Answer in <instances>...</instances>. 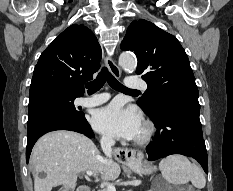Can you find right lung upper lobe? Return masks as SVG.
I'll return each mask as SVG.
<instances>
[{
    "label": "right lung upper lobe",
    "mask_w": 233,
    "mask_h": 191,
    "mask_svg": "<svg viewBox=\"0 0 233 191\" xmlns=\"http://www.w3.org/2000/svg\"><path fill=\"white\" fill-rule=\"evenodd\" d=\"M101 47L90 29L73 24L41 54L33 72L29 97L53 91L79 97L98 71Z\"/></svg>",
    "instance_id": "1"
}]
</instances>
